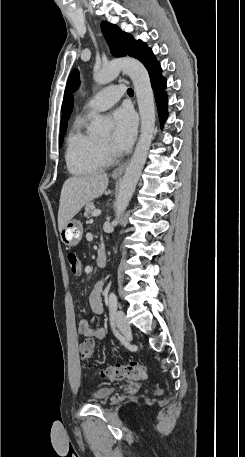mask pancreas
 <instances>
[{"label": "pancreas", "mask_w": 245, "mask_h": 457, "mask_svg": "<svg viewBox=\"0 0 245 457\" xmlns=\"http://www.w3.org/2000/svg\"><path fill=\"white\" fill-rule=\"evenodd\" d=\"M94 210H96L94 202H86L84 216H91Z\"/></svg>", "instance_id": "obj_1"}]
</instances>
